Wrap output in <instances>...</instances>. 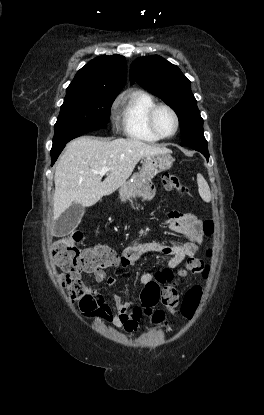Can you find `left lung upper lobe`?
I'll list each match as a JSON object with an SVG mask.
<instances>
[{"label":"left lung upper lobe","instance_id":"left-lung-upper-lobe-1","mask_svg":"<svg viewBox=\"0 0 264 415\" xmlns=\"http://www.w3.org/2000/svg\"><path fill=\"white\" fill-rule=\"evenodd\" d=\"M130 82H137L173 108L179 119L182 143L206 141L191 82L176 65L158 55L138 58L131 64Z\"/></svg>","mask_w":264,"mask_h":415}]
</instances>
